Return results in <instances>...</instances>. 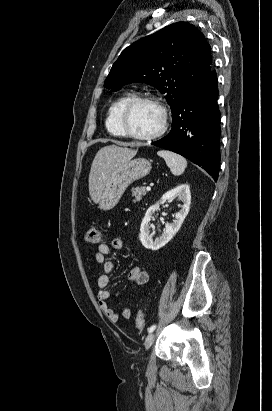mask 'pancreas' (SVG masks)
I'll list each match as a JSON object with an SVG mask.
<instances>
[{"label": "pancreas", "instance_id": "1", "mask_svg": "<svg viewBox=\"0 0 272 411\" xmlns=\"http://www.w3.org/2000/svg\"><path fill=\"white\" fill-rule=\"evenodd\" d=\"M147 193L145 187H136L132 190V196L134 197V202H139L143 196Z\"/></svg>", "mask_w": 272, "mask_h": 411}]
</instances>
